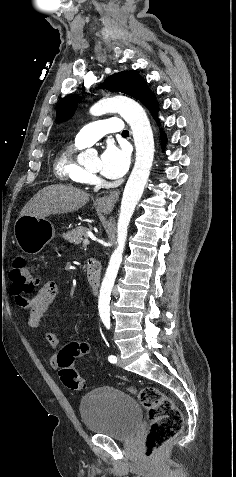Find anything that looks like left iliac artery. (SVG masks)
<instances>
[{"label":"left iliac artery","mask_w":236,"mask_h":477,"mask_svg":"<svg viewBox=\"0 0 236 477\" xmlns=\"http://www.w3.org/2000/svg\"><path fill=\"white\" fill-rule=\"evenodd\" d=\"M104 324H105V326H106L107 329L110 328V323H109V322H104ZM108 360H109L110 363H116V362H117V357L114 356V355H110V356L108 357Z\"/></svg>","instance_id":"left-iliac-artery-1"}]
</instances>
